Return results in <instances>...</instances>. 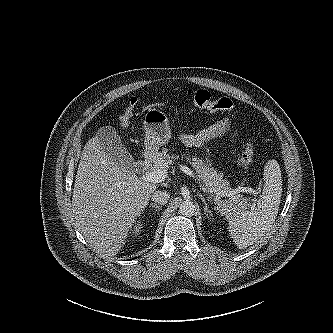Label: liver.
<instances>
[{"label":"liver","instance_id":"obj_1","mask_svg":"<svg viewBox=\"0 0 333 333\" xmlns=\"http://www.w3.org/2000/svg\"><path fill=\"white\" fill-rule=\"evenodd\" d=\"M157 189L117 164L91 138L79 162L72 196L78 230L102 256H115Z\"/></svg>","mask_w":333,"mask_h":333}]
</instances>
